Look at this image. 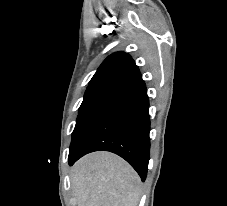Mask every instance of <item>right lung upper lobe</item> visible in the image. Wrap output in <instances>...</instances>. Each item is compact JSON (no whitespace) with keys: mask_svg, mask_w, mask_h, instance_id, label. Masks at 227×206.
Returning <instances> with one entry per match:
<instances>
[{"mask_svg":"<svg viewBox=\"0 0 227 206\" xmlns=\"http://www.w3.org/2000/svg\"><path fill=\"white\" fill-rule=\"evenodd\" d=\"M142 79L138 67L125 52H116L108 56L100 65L89 84L106 81H121L133 83Z\"/></svg>","mask_w":227,"mask_h":206,"instance_id":"1","label":"right lung upper lobe"}]
</instances>
